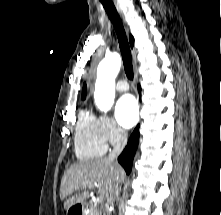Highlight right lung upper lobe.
<instances>
[{
	"label": "right lung upper lobe",
	"mask_w": 221,
	"mask_h": 215,
	"mask_svg": "<svg viewBox=\"0 0 221 215\" xmlns=\"http://www.w3.org/2000/svg\"><path fill=\"white\" fill-rule=\"evenodd\" d=\"M133 43H134V38L132 35H130V44L131 47H133ZM86 98V84L83 85V91H82V99Z\"/></svg>",
	"instance_id": "obj_1"
}]
</instances>
